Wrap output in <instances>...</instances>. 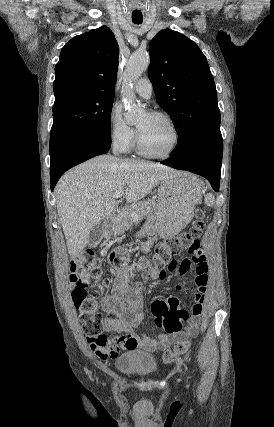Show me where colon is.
Here are the masks:
<instances>
[{
	"label": "colon",
	"mask_w": 274,
	"mask_h": 427,
	"mask_svg": "<svg viewBox=\"0 0 274 427\" xmlns=\"http://www.w3.org/2000/svg\"><path fill=\"white\" fill-rule=\"evenodd\" d=\"M205 228L204 213L197 211L195 218L190 228L183 234L166 239L157 245L154 254V263L158 266H166L170 261L176 260L181 257L182 252L189 251L192 243L190 238L194 236H203ZM116 263H121L125 260L122 253H117L114 256ZM100 263L97 260L85 258L84 256H77L69 262V277L77 276L75 281V293L77 296L82 297L80 300H73L74 306L77 310H82L81 320L86 332V336L97 338L104 330V317L95 312V304L91 300H85L88 293V281L93 274L100 270ZM74 287H72L73 290ZM125 339V338H124ZM126 342V341H125ZM190 349L189 341H179L172 350L171 347L163 348V364H175L176 359L178 364H189V355L186 354Z\"/></svg>",
	"instance_id": "5ec220e1"
}]
</instances>
